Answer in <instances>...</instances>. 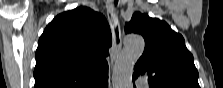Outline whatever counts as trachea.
Listing matches in <instances>:
<instances>
[{
    "mask_svg": "<svg viewBox=\"0 0 223 88\" xmlns=\"http://www.w3.org/2000/svg\"><path fill=\"white\" fill-rule=\"evenodd\" d=\"M117 3H118V1L116 0V1H115V4H117Z\"/></svg>",
    "mask_w": 223,
    "mask_h": 88,
    "instance_id": "trachea-1",
    "label": "trachea"
}]
</instances>
